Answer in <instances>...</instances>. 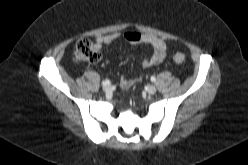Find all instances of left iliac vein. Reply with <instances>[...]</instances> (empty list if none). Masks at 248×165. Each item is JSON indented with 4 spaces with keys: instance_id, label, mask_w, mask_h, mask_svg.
<instances>
[{
    "instance_id": "obj_1",
    "label": "left iliac vein",
    "mask_w": 248,
    "mask_h": 165,
    "mask_svg": "<svg viewBox=\"0 0 248 165\" xmlns=\"http://www.w3.org/2000/svg\"><path fill=\"white\" fill-rule=\"evenodd\" d=\"M147 91H148L149 94H155L157 90H156V87L155 86L148 85L147 86Z\"/></svg>"
}]
</instances>
